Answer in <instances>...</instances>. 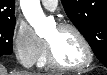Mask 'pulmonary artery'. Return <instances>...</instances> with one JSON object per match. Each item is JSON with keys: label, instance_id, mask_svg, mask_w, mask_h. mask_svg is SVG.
I'll list each match as a JSON object with an SVG mask.
<instances>
[{"label": "pulmonary artery", "instance_id": "pulmonary-artery-1", "mask_svg": "<svg viewBox=\"0 0 107 75\" xmlns=\"http://www.w3.org/2000/svg\"><path fill=\"white\" fill-rule=\"evenodd\" d=\"M41 2L43 6L50 11H54L58 5L57 0H42Z\"/></svg>", "mask_w": 107, "mask_h": 75}]
</instances>
